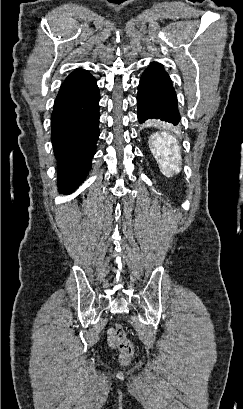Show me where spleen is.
<instances>
[{"mask_svg": "<svg viewBox=\"0 0 243 409\" xmlns=\"http://www.w3.org/2000/svg\"><path fill=\"white\" fill-rule=\"evenodd\" d=\"M149 147L165 176L171 177L174 172L180 171V147L172 134L165 131L154 133L150 137Z\"/></svg>", "mask_w": 243, "mask_h": 409, "instance_id": "spleen-1", "label": "spleen"}]
</instances>
